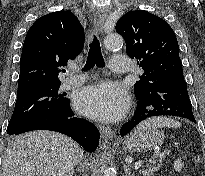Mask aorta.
<instances>
[{"mask_svg":"<svg viewBox=\"0 0 205 176\" xmlns=\"http://www.w3.org/2000/svg\"><path fill=\"white\" fill-rule=\"evenodd\" d=\"M105 47L109 50L119 49L123 46V38L116 33L109 34L104 40ZM104 176H115L111 168H106Z\"/></svg>","mask_w":205,"mask_h":176,"instance_id":"obj_1","label":"aorta"}]
</instances>
